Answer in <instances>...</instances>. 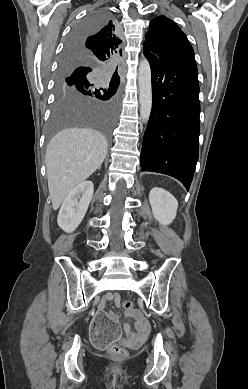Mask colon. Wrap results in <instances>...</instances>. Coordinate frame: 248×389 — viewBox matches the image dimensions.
Wrapping results in <instances>:
<instances>
[{"label": "colon", "instance_id": "1", "mask_svg": "<svg viewBox=\"0 0 248 389\" xmlns=\"http://www.w3.org/2000/svg\"><path fill=\"white\" fill-rule=\"evenodd\" d=\"M123 307L127 310L133 308L132 301H124ZM91 328V346L96 350H107L113 359H122L126 356V350L114 343L113 337H122L123 332L119 330L117 320L108 315L107 311H97L94 316V322L90 323ZM108 344H112L108 348Z\"/></svg>", "mask_w": 248, "mask_h": 389}]
</instances>
